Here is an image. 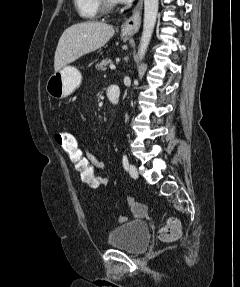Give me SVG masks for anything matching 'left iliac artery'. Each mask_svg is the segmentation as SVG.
Masks as SVG:
<instances>
[{"label": "left iliac artery", "mask_w": 240, "mask_h": 287, "mask_svg": "<svg viewBox=\"0 0 240 287\" xmlns=\"http://www.w3.org/2000/svg\"><path fill=\"white\" fill-rule=\"evenodd\" d=\"M122 163H123V167L125 168V170H127L129 167V162H128V158L126 155H123Z\"/></svg>", "instance_id": "left-iliac-artery-1"}]
</instances>
